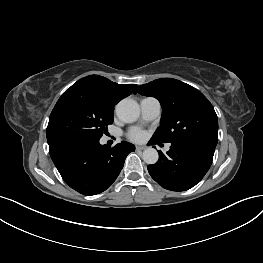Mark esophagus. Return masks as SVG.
<instances>
[{
    "label": "esophagus",
    "instance_id": "obj_1",
    "mask_svg": "<svg viewBox=\"0 0 263 263\" xmlns=\"http://www.w3.org/2000/svg\"><path fill=\"white\" fill-rule=\"evenodd\" d=\"M145 149H146L145 146H136V150L141 151V150H145Z\"/></svg>",
    "mask_w": 263,
    "mask_h": 263
}]
</instances>
